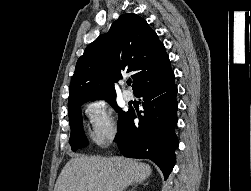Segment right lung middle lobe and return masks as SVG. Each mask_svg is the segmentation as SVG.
I'll use <instances>...</instances> for the list:
<instances>
[{"mask_svg": "<svg viewBox=\"0 0 251 191\" xmlns=\"http://www.w3.org/2000/svg\"><path fill=\"white\" fill-rule=\"evenodd\" d=\"M109 103L119 113L118 127L125 121L130 113L121 111L116 105L115 99L109 100ZM81 105L68 108L69 124L71 128V136L69 144L71 145L72 151H76L79 148H83L88 145V140L85 136L82 123Z\"/></svg>", "mask_w": 251, "mask_h": 191, "instance_id": "right-lung-middle-lobe-1", "label": "right lung middle lobe"}]
</instances>
